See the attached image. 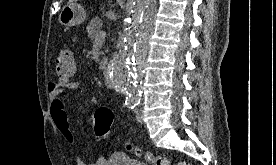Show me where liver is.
Here are the masks:
<instances>
[{
    "label": "liver",
    "mask_w": 276,
    "mask_h": 165,
    "mask_svg": "<svg viewBox=\"0 0 276 165\" xmlns=\"http://www.w3.org/2000/svg\"><path fill=\"white\" fill-rule=\"evenodd\" d=\"M77 0H70L69 2H68V4L69 5H72V4H74V2H76Z\"/></svg>",
    "instance_id": "1"
}]
</instances>
